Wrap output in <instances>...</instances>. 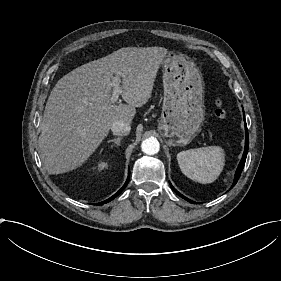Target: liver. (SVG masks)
<instances>
[{
    "label": "liver",
    "mask_w": 281,
    "mask_h": 281,
    "mask_svg": "<svg viewBox=\"0 0 281 281\" xmlns=\"http://www.w3.org/2000/svg\"><path fill=\"white\" fill-rule=\"evenodd\" d=\"M166 53L167 49L159 46L122 47L57 81L48 97L39 135L49 174L82 164L115 122L132 121L136 107L150 97L158 65ZM113 74L123 77L120 92L127 104H109Z\"/></svg>",
    "instance_id": "1"
}]
</instances>
